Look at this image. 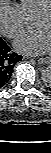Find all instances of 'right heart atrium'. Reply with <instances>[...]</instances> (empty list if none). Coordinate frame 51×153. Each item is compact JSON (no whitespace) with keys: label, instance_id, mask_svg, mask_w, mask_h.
Here are the masks:
<instances>
[{"label":"right heart atrium","instance_id":"obj_1","mask_svg":"<svg viewBox=\"0 0 51 153\" xmlns=\"http://www.w3.org/2000/svg\"><path fill=\"white\" fill-rule=\"evenodd\" d=\"M29 24V19L18 5L9 0H0V32L3 36L14 39L20 36Z\"/></svg>","mask_w":51,"mask_h":153}]
</instances>
